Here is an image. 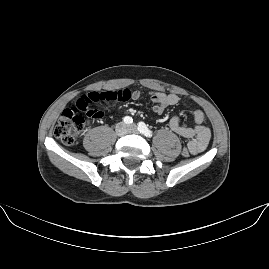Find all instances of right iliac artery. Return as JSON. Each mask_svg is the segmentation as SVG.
Masks as SVG:
<instances>
[{
	"mask_svg": "<svg viewBox=\"0 0 269 269\" xmlns=\"http://www.w3.org/2000/svg\"><path fill=\"white\" fill-rule=\"evenodd\" d=\"M124 122L126 123V124H131L132 122H133V119H132V117H130V116H126V117H124Z\"/></svg>",
	"mask_w": 269,
	"mask_h": 269,
	"instance_id": "82829eb1",
	"label": "right iliac artery"
}]
</instances>
